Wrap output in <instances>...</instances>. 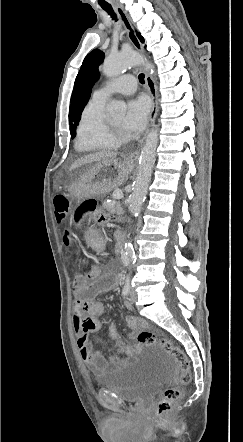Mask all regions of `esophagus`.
<instances>
[{"mask_svg": "<svg viewBox=\"0 0 243 442\" xmlns=\"http://www.w3.org/2000/svg\"><path fill=\"white\" fill-rule=\"evenodd\" d=\"M117 13L127 31V36L128 39L130 40V42L132 43V45L134 46V48L140 52L141 54H143V45L141 44L140 40L138 39V37L136 36V33L134 31V28L130 22V20L128 19V17L126 16L125 12L123 11V9L121 7H117ZM145 81H146V85L151 97V101H152V106H151V112H150V116H149V122H148V127H147V132L146 134L149 132V130L151 129V127L153 126L156 114H157V95H156V88H155V84L153 79L151 78V76L148 73H145ZM146 135L144 136V138L140 141L139 143V147L136 151H134L133 153L129 154L128 159L131 162H135L139 159V155H140V149L142 147V144L144 142Z\"/></svg>", "mask_w": 243, "mask_h": 442, "instance_id": "obj_1", "label": "esophagus"}]
</instances>
